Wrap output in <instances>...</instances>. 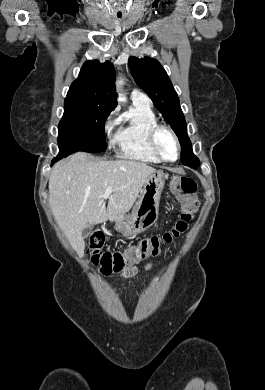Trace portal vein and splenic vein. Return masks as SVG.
I'll return each instance as SVG.
<instances>
[{"mask_svg": "<svg viewBox=\"0 0 265 390\" xmlns=\"http://www.w3.org/2000/svg\"><path fill=\"white\" fill-rule=\"evenodd\" d=\"M112 192H113L112 188L110 186L107 187L105 193L103 194V198H108L112 194Z\"/></svg>", "mask_w": 265, "mask_h": 390, "instance_id": "obj_1", "label": "portal vein and splenic vein"}]
</instances>
